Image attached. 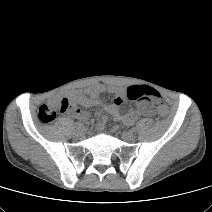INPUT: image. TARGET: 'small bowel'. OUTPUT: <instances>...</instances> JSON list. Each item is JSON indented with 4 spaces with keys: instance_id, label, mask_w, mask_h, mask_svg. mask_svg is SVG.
Returning <instances> with one entry per match:
<instances>
[{
    "instance_id": "1",
    "label": "small bowel",
    "mask_w": 212,
    "mask_h": 212,
    "mask_svg": "<svg viewBox=\"0 0 212 212\" xmlns=\"http://www.w3.org/2000/svg\"><path fill=\"white\" fill-rule=\"evenodd\" d=\"M104 92H108L114 95L113 102L104 105V109L117 121L130 125L134 123L140 116H146L152 113V108L150 107V105L146 102L141 101L137 104L135 110H131L126 114H122L120 109L125 102L126 91H123L116 86H106L102 83H98L88 87L83 92H73L69 94L68 102L70 105L71 114L75 118L87 122L90 118L89 113L78 108V106L90 108L100 105V96ZM105 122L106 118L103 117L100 126H103Z\"/></svg>"
}]
</instances>
